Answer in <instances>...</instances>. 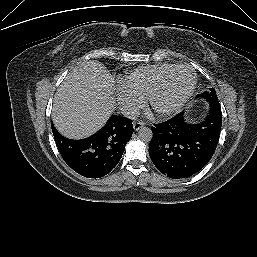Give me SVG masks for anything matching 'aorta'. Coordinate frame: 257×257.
<instances>
[{
  "label": "aorta",
  "mask_w": 257,
  "mask_h": 257,
  "mask_svg": "<svg viewBox=\"0 0 257 257\" xmlns=\"http://www.w3.org/2000/svg\"><path fill=\"white\" fill-rule=\"evenodd\" d=\"M139 138L144 142H150L153 138V132L148 127H141L138 131Z\"/></svg>",
  "instance_id": "762f6f07"
}]
</instances>
